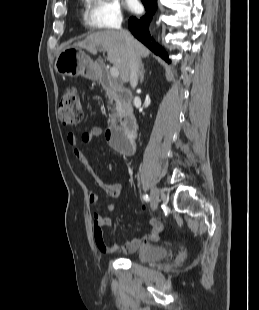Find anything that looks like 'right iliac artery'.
Here are the masks:
<instances>
[{
    "label": "right iliac artery",
    "instance_id": "obj_1",
    "mask_svg": "<svg viewBox=\"0 0 259 310\" xmlns=\"http://www.w3.org/2000/svg\"><path fill=\"white\" fill-rule=\"evenodd\" d=\"M143 199H144L145 201H149V200H150V197L146 194V195H143Z\"/></svg>",
    "mask_w": 259,
    "mask_h": 310
}]
</instances>
